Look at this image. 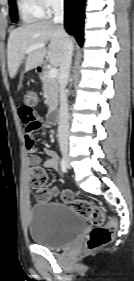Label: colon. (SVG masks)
I'll list each match as a JSON object with an SVG mask.
<instances>
[{
    "mask_svg": "<svg viewBox=\"0 0 134 281\" xmlns=\"http://www.w3.org/2000/svg\"><path fill=\"white\" fill-rule=\"evenodd\" d=\"M38 103V95L35 91L29 90L24 97V104L34 107ZM47 176L40 167L33 168L30 173V184L36 190V197L40 201L51 200L57 196L56 191L46 188ZM61 200L71 205L82 216L93 224L86 245L89 249H96L109 244L115 235L116 222L107 218L105 212L97 205L83 199H75L69 192L60 195Z\"/></svg>",
    "mask_w": 134,
    "mask_h": 281,
    "instance_id": "1",
    "label": "colon"
}]
</instances>
